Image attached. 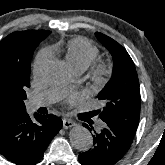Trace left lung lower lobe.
Wrapping results in <instances>:
<instances>
[{
	"label": "left lung lower lobe",
	"mask_w": 165,
	"mask_h": 165,
	"mask_svg": "<svg viewBox=\"0 0 165 165\" xmlns=\"http://www.w3.org/2000/svg\"><path fill=\"white\" fill-rule=\"evenodd\" d=\"M83 125L91 131L88 125ZM133 137L134 133L105 123L103 129L93 136V148L81 153L79 161L82 165H114L126 154Z\"/></svg>",
	"instance_id": "left-lung-lower-lobe-1"
}]
</instances>
